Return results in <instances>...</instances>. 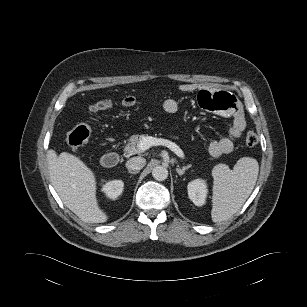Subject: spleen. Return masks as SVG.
Listing matches in <instances>:
<instances>
[{
	"label": "spleen",
	"instance_id": "3e777b00",
	"mask_svg": "<svg viewBox=\"0 0 307 307\" xmlns=\"http://www.w3.org/2000/svg\"><path fill=\"white\" fill-rule=\"evenodd\" d=\"M258 173V162L250 157L239 159L233 170L225 164L214 167L211 210L213 222L229 219L242 207L254 189Z\"/></svg>",
	"mask_w": 307,
	"mask_h": 307
}]
</instances>
